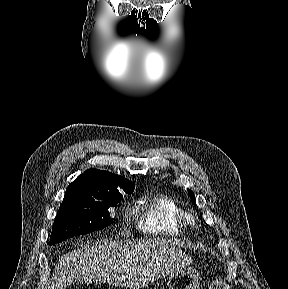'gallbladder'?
Instances as JSON below:
<instances>
[{"label": "gallbladder", "mask_w": 288, "mask_h": 289, "mask_svg": "<svg viewBox=\"0 0 288 289\" xmlns=\"http://www.w3.org/2000/svg\"><path fill=\"white\" fill-rule=\"evenodd\" d=\"M82 282V278L79 277V276H72L70 275V279L68 280V284L71 285V284H79Z\"/></svg>", "instance_id": "1"}]
</instances>
